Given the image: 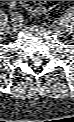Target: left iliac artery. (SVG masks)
<instances>
[{
	"label": "left iliac artery",
	"mask_w": 74,
	"mask_h": 122,
	"mask_svg": "<svg viewBox=\"0 0 74 122\" xmlns=\"http://www.w3.org/2000/svg\"><path fill=\"white\" fill-rule=\"evenodd\" d=\"M66 23L60 22L59 25L64 26Z\"/></svg>",
	"instance_id": "1"
}]
</instances>
